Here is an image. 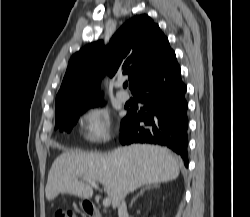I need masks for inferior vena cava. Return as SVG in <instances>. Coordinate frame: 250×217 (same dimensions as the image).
<instances>
[{
    "label": "inferior vena cava",
    "mask_w": 250,
    "mask_h": 217,
    "mask_svg": "<svg viewBox=\"0 0 250 217\" xmlns=\"http://www.w3.org/2000/svg\"><path fill=\"white\" fill-rule=\"evenodd\" d=\"M118 216L119 217H128L127 206L124 197L121 198L118 205Z\"/></svg>",
    "instance_id": "obj_1"
}]
</instances>
